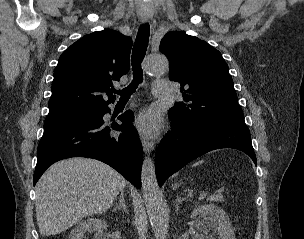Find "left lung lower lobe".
<instances>
[{
	"label": "left lung lower lobe",
	"instance_id": "left-lung-lower-lobe-1",
	"mask_svg": "<svg viewBox=\"0 0 304 239\" xmlns=\"http://www.w3.org/2000/svg\"><path fill=\"white\" fill-rule=\"evenodd\" d=\"M172 130L160 142L155 155L159 186L193 159L215 149L233 148L245 152L257 164L246 124L217 122L197 130L170 116Z\"/></svg>",
	"mask_w": 304,
	"mask_h": 239
}]
</instances>
